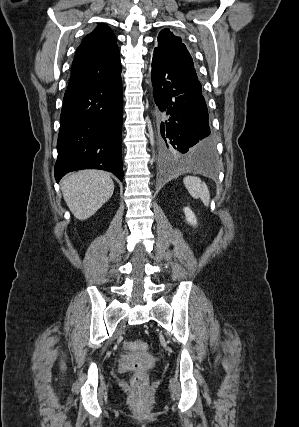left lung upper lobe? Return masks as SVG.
I'll return each instance as SVG.
<instances>
[{"label": "left lung upper lobe", "instance_id": "obj_1", "mask_svg": "<svg viewBox=\"0 0 299 427\" xmlns=\"http://www.w3.org/2000/svg\"><path fill=\"white\" fill-rule=\"evenodd\" d=\"M182 43V39L180 37L175 36L169 29H163L159 33L158 36V46L171 45V44H179ZM194 74L197 76L195 69Z\"/></svg>", "mask_w": 299, "mask_h": 427}]
</instances>
